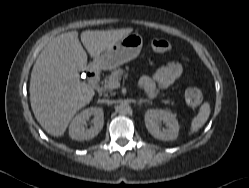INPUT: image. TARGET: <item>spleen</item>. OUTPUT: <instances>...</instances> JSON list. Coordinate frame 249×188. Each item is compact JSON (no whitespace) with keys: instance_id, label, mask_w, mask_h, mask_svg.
<instances>
[{"instance_id":"spleen-1","label":"spleen","mask_w":249,"mask_h":188,"mask_svg":"<svg viewBox=\"0 0 249 188\" xmlns=\"http://www.w3.org/2000/svg\"><path fill=\"white\" fill-rule=\"evenodd\" d=\"M210 115V105L208 102L202 104L198 115L192 120L189 135L197 132L207 121Z\"/></svg>"}]
</instances>
